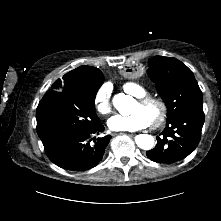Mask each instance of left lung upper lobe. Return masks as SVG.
<instances>
[{
  "instance_id": "5c2ea615",
  "label": "left lung upper lobe",
  "mask_w": 221,
  "mask_h": 221,
  "mask_svg": "<svg viewBox=\"0 0 221 221\" xmlns=\"http://www.w3.org/2000/svg\"><path fill=\"white\" fill-rule=\"evenodd\" d=\"M148 75L166 103L167 122L181 114L202 108V91L193 72L181 61L173 57L155 56L149 60ZM175 149L174 143L163 147L165 159L173 156Z\"/></svg>"
}]
</instances>
